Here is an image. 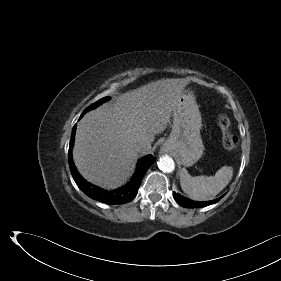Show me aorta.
I'll use <instances>...</instances> for the list:
<instances>
[{"instance_id": "obj_1", "label": "aorta", "mask_w": 281, "mask_h": 281, "mask_svg": "<svg viewBox=\"0 0 281 281\" xmlns=\"http://www.w3.org/2000/svg\"><path fill=\"white\" fill-rule=\"evenodd\" d=\"M158 167L163 172L171 173V172H173V170L175 168V163L171 157L165 155L160 158V160L158 162Z\"/></svg>"}]
</instances>
